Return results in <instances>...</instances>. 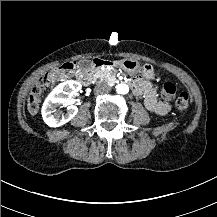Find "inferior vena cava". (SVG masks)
<instances>
[{
    "label": "inferior vena cava",
    "mask_w": 217,
    "mask_h": 217,
    "mask_svg": "<svg viewBox=\"0 0 217 217\" xmlns=\"http://www.w3.org/2000/svg\"><path fill=\"white\" fill-rule=\"evenodd\" d=\"M111 90V88L105 84V83H100L98 85L95 86V93L97 94H106V93H109Z\"/></svg>",
    "instance_id": "inferior-vena-cava-1"
}]
</instances>
